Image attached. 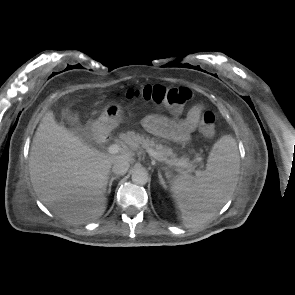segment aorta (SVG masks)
Wrapping results in <instances>:
<instances>
[{"label": "aorta", "instance_id": "762f6f07", "mask_svg": "<svg viewBox=\"0 0 295 295\" xmlns=\"http://www.w3.org/2000/svg\"><path fill=\"white\" fill-rule=\"evenodd\" d=\"M132 181L138 185H145L148 181V172L143 169H137L132 174Z\"/></svg>", "mask_w": 295, "mask_h": 295}]
</instances>
